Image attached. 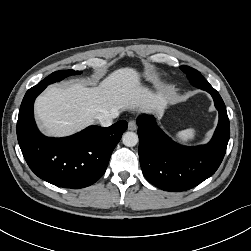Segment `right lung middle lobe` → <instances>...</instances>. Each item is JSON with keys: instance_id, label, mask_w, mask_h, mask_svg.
Here are the masks:
<instances>
[{"instance_id": "dd1d6c3e", "label": "right lung middle lobe", "mask_w": 251, "mask_h": 251, "mask_svg": "<svg viewBox=\"0 0 251 251\" xmlns=\"http://www.w3.org/2000/svg\"><path fill=\"white\" fill-rule=\"evenodd\" d=\"M81 74V71L74 70H62L57 71L46 77L44 80L38 83V85H49L54 82L60 81L68 76Z\"/></svg>"}]
</instances>
